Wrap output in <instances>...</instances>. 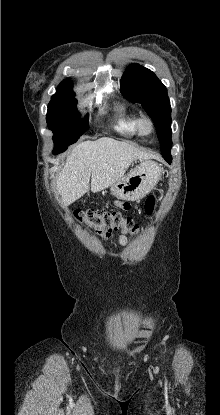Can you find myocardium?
Returning <instances> with one entry per match:
<instances>
[{
    "label": "myocardium",
    "mask_w": 220,
    "mask_h": 415,
    "mask_svg": "<svg viewBox=\"0 0 220 415\" xmlns=\"http://www.w3.org/2000/svg\"><path fill=\"white\" fill-rule=\"evenodd\" d=\"M145 126H148V131L145 130ZM136 129L140 136L149 137L154 133L155 125L151 118L141 117L138 119Z\"/></svg>",
    "instance_id": "1"
}]
</instances>
